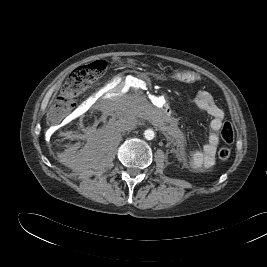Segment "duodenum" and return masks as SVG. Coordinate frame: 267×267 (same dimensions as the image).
<instances>
[{"instance_id":"1","label":"duodenum","mask_w":267,"mask_h":267,"mask_svg":"<svg viewBox=\"0 0 267 267\" xmlns=\"http://www.w3.org/2000/svg\"><path fill=\"white\" fill-rule=\"evenodd\" d=\"M115 90L118 93H123L126 90V83L124 81H117L115 83ZM158 110H159V113H163L167 116H170V109L167 105H163L159 107Z\"/></svg>"}]
</instances>
